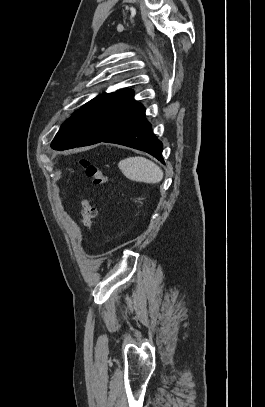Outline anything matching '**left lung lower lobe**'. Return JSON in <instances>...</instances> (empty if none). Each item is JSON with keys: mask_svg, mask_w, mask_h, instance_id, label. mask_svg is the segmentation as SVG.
Returning a JSON list of instances; mask_svg holds the SVG:
<instances>
[{"mask_svg": "<svg viewBox=\"0 0 265 407\" xmlns=\"http://www.w3.org/2000/svg\"><path fill=\"white\" fill-rule=\"evenodd\" d=\"M101 142L115 143L142 150L164 163L162 158L163 144L153 134L151 124L145 119V115ZM69 148H74V146L65 145L60 150Z\"/></svg>", "mask_w": 265, "mask_h": 407, "instance_id": "0a47b994", "label": "left lung lower lobe"}]
</instances>
